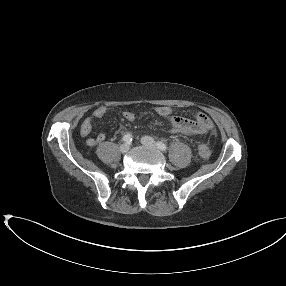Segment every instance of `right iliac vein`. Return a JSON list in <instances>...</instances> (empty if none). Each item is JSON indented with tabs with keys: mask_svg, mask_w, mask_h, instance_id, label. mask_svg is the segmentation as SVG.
<instances>
[{
	"mask_svg": "<svg viewBox=\"0 0 286 286\" xmlns=\"http://www.w3.org/2000/svg\"><path fill=\"white\" fill-rule=\"evenodd\" d=\"M129 149H130V146H129V144H127V143H124V144H122V145L120 146V151H121L122 153L128 152Z\"/></svg>",
	"mask_w": 286,
	"mask_h": 286,
	"instance_id": "obj_1",
	"label": "right iliac vein"
}]
</instances>
